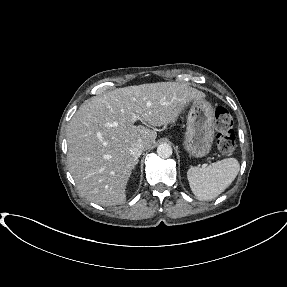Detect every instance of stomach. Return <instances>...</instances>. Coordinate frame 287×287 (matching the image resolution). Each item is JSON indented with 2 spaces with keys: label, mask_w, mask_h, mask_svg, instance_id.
Returning a JSON list of instances; mask_svg holds the SVG:
<instances>
[{
  "label": "stomach",
  "mask_w": 287,
  "mask_h": 287,
  "mask_svg": "<svg viewBox=\"0 0 287 287\" xmlns=\"http://www.w3.org/2000/svg\"><path fill=\"white\" fill-rule=\"evenodd\" d=\"M215 112L206 100H194L187 117L184 149L194 157L206 156L212 147L215 134Z\"/></svg>",
  "instance_id": "0dacf381"
}]
</instances>
